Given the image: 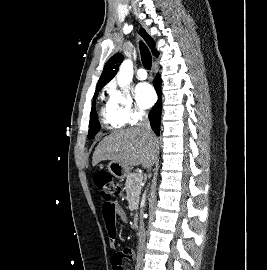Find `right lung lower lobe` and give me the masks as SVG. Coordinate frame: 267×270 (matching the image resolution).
<instances>
[{
  "instance_id": "obj_1",
  "label": "right lung lower lobe",
  "mask_w": 267,
  "mask_h": 270,
  "mask_svg": "<svg viewBox=\"0 0 267 270\" xmlns=\"http://www.w3.org/2000/svg\"><path fill=\"white\" fill-rule=\"evenodd\" d=\"M153 85L156 89V92L159 96V100L157 103L153 106L149 113V120L151 127L156 135H159L160 133V122H161V83H160V77L159 74L155 78Z\"/></svg>"
}]
</instances>
